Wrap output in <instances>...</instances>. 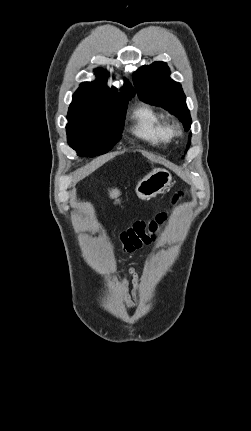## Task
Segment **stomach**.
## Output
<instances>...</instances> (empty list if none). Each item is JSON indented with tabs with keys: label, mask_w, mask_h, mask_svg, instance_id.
Returning <instances> with one entry per match:
<instances>
[{
	"label": "stomach",
	"mask_w": 251,
	"mask_h": 431,
	"mask_svg": "<svg viewBox=\"0 0 251 431\" xmlns=\"http://www.w3.org/2000/svg\"><path fill=\"white\" fill-rule=\"evenodd\" d=\"M171 182L172 175L168 170L155 168L138 182L136 193L142 200H149L167 189ZM116 202H119V200H116Z\"/></svg>",
	"instance_id": "stomach-1"
}]
</instances>
